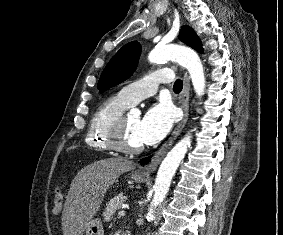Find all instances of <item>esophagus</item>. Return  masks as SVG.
Returning <instances> with one entry per match:
<instances>
[{"instance_id": "esophagus-1", "label": "esophagus", "mask_w": 283, "mask_h": 235, "mask_svg": "<svg viewBox=\"0 0 283 235\" xmlns=\"http://www.w3.org/2000/svg\"><path fill=\"white\" fill-rule=\"evenodd\" d=\"M189 97H190V79L187 72H185L183 90L180 96V103L183 110V118L172 132L168 141L152 156L150 163L138 168L139 173L148 176L150 175V173L155 171L159 163L161 162L162 158L166 154V152L170 149V147L173 145L177 137L182 132L189 117Z\"/></svg>"}]
</instances>
